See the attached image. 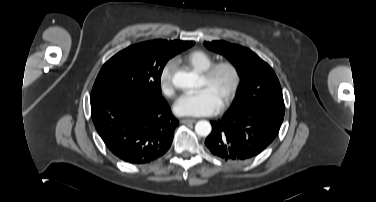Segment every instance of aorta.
Instances as JSON below:
<instances>
[{
	"label": "aorta",
	"instance_id": "762f6f07",
	"mask_svg": "<svg viewBox=\"0 0 376 202\" xmlns=\"http://www.w3.org/2000/svg\"><path fill=\"white\" fill-rule=\"evenodd\" d=\"M172 83L179 89H190L197 86L198 75L195 72L178 71L173 75ZM211 124L206 120L198 121L195 125V132L206 137L211 132Z\"/></svg>",
	"mask_w": 376,
	"mask_h": 202
}]
</instances>
